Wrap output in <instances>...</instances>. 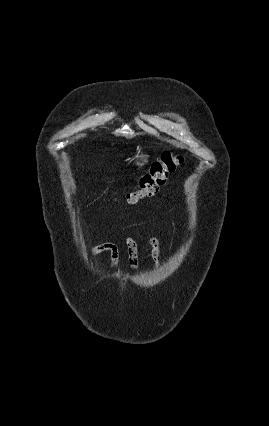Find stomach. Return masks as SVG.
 I'll return each mask as SVG.
<instances>
[{"label":"stomach","instance_id":"stomach-1","mask_svg":"<svg viewBox=\"0 0 269 426\" xmlns=\"http://www.w3.org/2000/svg\"><path fill=\"white\" fill-rule=\"evenodd\" d=\"M132 160L134 161L135 165L141 169L143 167H145L146 165H148L149 163V155L142 152V151H138L132 158Z\"/></svg>","mask_w":269,"mask_h":426}]
</instances>
